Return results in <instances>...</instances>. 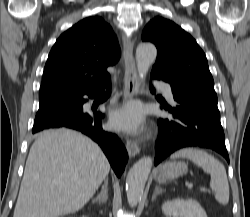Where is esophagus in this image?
<instances>
[{
	"label": "esophagus",
	"mask_w": 250,
	"mask_h": 217,
	"mask_svg": "<svg viewBox=\"0 0 250 217\" xmlns=\"http://www.w3.org/2000/svg\"><path fill=\"white\" fill-rule=\"evenodd\" d=\"M125 76L123 101L133 99L138 89V73L133 56V43L130 37L123 36ZM127 152L130 157H135L140 152V147L136 140L127 139Z\"/></svg>",
	"instance_id": "esophagus-1"
}]
</instances>
